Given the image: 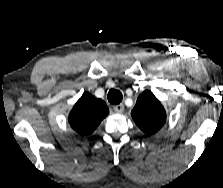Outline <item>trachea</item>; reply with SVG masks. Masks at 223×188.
Here are the masks:
<instances>
[{"instance_id":"1","label":"trachea","mask_w":223,"mask_h":188,"mask_svg":"<svg viewBox=\"0 0 223 188\" xmlns=\"http://www.w3.org/2000/svg\"><path fill=\"white\" fill-rule=\"evenodd\" d=\"M108 101L113 104V105H117L119 104L121 101H122V93L119 91V90H116V89H111L109 92H108Z\"/></svg>"}]
</instances>
